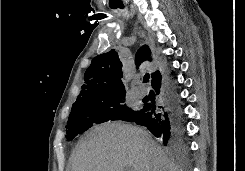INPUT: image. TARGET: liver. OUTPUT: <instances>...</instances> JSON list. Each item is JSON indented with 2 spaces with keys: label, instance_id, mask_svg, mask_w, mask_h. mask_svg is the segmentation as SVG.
<instances>
[{
  "label": "liver",
  "instance_id": "1",
  "mask_svg": "<svg viewBox=\"0 0 245 171\" xmlns=\"http://www.w3.org/2000/svg\"><path fill=\"white\" fill-rule=\"evenodd\" d=\"M70 164L71 171H180L146 131L122 123L92 128Z\"/></svg>",
  "mask_w": 245,
  "mask_h": 171
}]
</instances>
